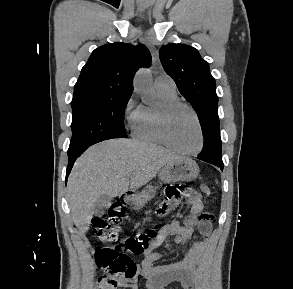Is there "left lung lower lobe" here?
Wrapping results in <instances>:
<instances>
[{"instance_id": "0a47b994", "label": "left lung lower lobe", "mask_w": 293, "mask_h": 289, "mask_svg": "<svg viewBox=\"0 0 293 289\" xmlns=\"http://www.w3.org/2000/svg\"><path fill=\"white\" fill-rule=\"evenodd\" d=\"M204 136V145L202 152L198 155L200 160L211 163L218 166L223 170V162H216L211 160V156L220 151L221 149V138L219 130H210L207 133L203 134Z\"/></svg>"}]
</instances>
